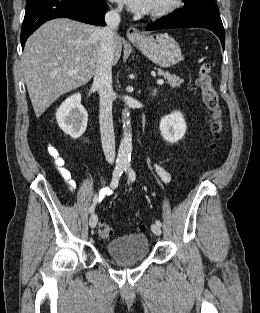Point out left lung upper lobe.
Masks as SVG:
<instances>
[{
    "label": "left lung upper lobe",
    "mask_w": 260,
    "mask_h": 313,
    "mask_svg": "<svg viewBox=\"0 0 260 313\" xmlns=\"http://www.w3.org/2000/svg\"><path fill=\"white\" fill-rule=\"evenodd\" d=\"M176 12L180 14L202 15L221 19L218 6L214 0H186L184 8Z\"/></svg>",
    "instance_id": "obj_1"
}]
</instances>
